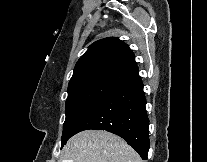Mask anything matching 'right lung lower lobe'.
<instances>
[{"label":"right lung lower lobe","mask_w":207,"mask_h":162,"mask_svg":"<svg viewBox=\"0 0 207 162\" xmlns=\"http://www.w3.org/2000/svg\"><path fill=\"white\" fill-rule=\"evenodd\" d=\"M145 104L143 83L137 74L115 87L81 121L73 135L88 129L109 131L126 140L145 160L150 145Z\"/></svg>","instance_id":"obj_1"}]
</instances>
